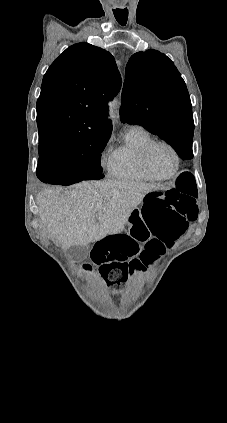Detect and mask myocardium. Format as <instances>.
<instances>
[{
  "label": "myocardium",
  "mask_w": 227,
  "mask_h": 423,
  "mask_svg": "<svg viewBox=\"0 0 227 423\" xmlns=\"http://www.w3.org/2000/svg\"><path fill=\"white\" fill-rule=\"evenodd\" d=\"M157 146L166 147L167 149H169L171 151V153L174 156L175 168H174V171L168 176L158 175L157 173H155V171L152 169V167L150 165V161H149L150 154H151L152 150ZM141 163H142V166H143L145 172L150 177H152L155 180H160V181H166V180L173 179L174 177L177 176V174L180 171V167H181V159H180L179 153L176 150V148L173 145H171L170 143H168L166 141H162V140H152L144 146V148L141 151Z\"/></svg>",
  "instance_id": "1"
}]
</instances>
